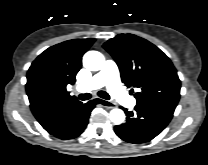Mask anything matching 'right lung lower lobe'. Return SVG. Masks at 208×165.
<instances>
[{
	"label": "right lung lower lobe",
	"instance_id": "1",
	"mask_svg": "<svg viewBox=\"0 0 208 165\" xmlns=\"http://www.w3.org/2000/svg\"><path fill=\"white\" fill-rule=\"evenodd\" d=\"M94 107L95 103L92 100L85 104L82 103L43 128L62 140L74 139L86 128Z\"/></svg>",
	"mask_w": 208,
	"mask_h": 165
}]
</instances>
